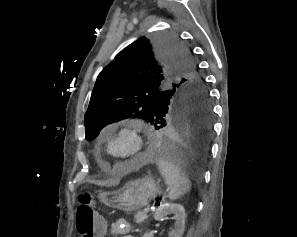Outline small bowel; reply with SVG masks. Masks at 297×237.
I'll list each match as a JSON object with an SVG mask.
<instances>
[{"label": "small bowel", "mask_w": 297, "mask_h": 237, "mask_svg": "<svg viewBox=\"0 0 297 237\" xmlns=\"http://www.w3.org/2000/svg\"><path fill=\"white\" fill-rule=\"evenodd\" d=\"M109 231L120 237H133L129 234L130 224L125 219H118L113 222L110 230L102 224L98 237H105Z\"/></svg>", "instance_id": "small-bowel-1"}]
</instances>
